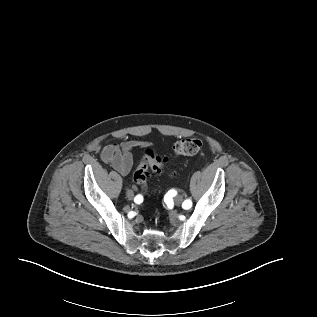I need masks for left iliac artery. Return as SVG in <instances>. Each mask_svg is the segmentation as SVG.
Here are the masks:
<instances>
[{"label": "left iliac artery", "mask_w": 317, "mask_h": 317, "mask_svg": "<svg viewBox=\"0 0 317 317\" xmlns=\"http://www.w3.org/2000/svg\"><path fill=\"white\" fill-rule=\"evenodd\" d=\"M192 206V201L190 199H186L183 203V208L189 209Z\"/></svg>", "instance_id": "1"}]
</instances>
